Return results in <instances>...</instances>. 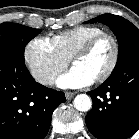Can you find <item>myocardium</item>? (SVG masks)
<instances>
[{
    "instance_id": "f54148a6",
    "label": "myocardium",
    "mask_w": 139,
    "mask_h": 139,
    "mask_svg": "<svg viewBox=\"0 0 139 139\" xmlns=\"http://www.w3.org/2000/svg\"><path fill=\"white\" fill-rule=\"evenodd\" d=\"M102 39H108L111 42L113 53L111 61L105 71L97 79H95V81L98 83L106 81L113 74L119 62L120 46L117 38L113 34L101 32L91 37L85 43H83L71 57V63L74 65L77 58L89 53Z\"/></svg>"
}]
</instances>
